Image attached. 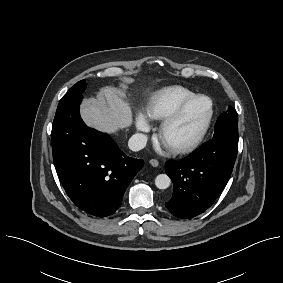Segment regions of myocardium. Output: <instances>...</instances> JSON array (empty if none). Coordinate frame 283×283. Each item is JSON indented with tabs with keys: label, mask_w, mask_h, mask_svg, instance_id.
<instances>
[{
	"label": "myocardium",
	"mask_w": 283,
	"mask_h": 283,
	"mask_svg": "<svg viewBox=\"0 0 283 283\" xmlns=\"http://www.w3.org/2000/svg\"><path fill=\"white\" fill-rule=\"evenodd\" d=\"M208 99L210 102V111L208 114V117L204 123L203 128L201 129V131L199 132V134L193 138L192 140L186 142V143H182L179 145H175L170 147L171 150L174 153L177 154H184V153H188L191 152L193 150H195L204 140V138L206 137L210 126L212 124L213 121V117H214V112H215V104L214 101L212 100L211 97L205 95V94H195L194 96L190 97L189 99H187L186 101H184L171 115H169L167 118L164 119V121L162 122L159 131H158V137L163 140L166 133L169 131V129L174 126L179 120L180 118L183 116V114L185 113V111L187 110V108L194 103L195 101L199 100V99Z\"/></svg>",
	"instance_id": "f54148a6"
}]
</instances>
